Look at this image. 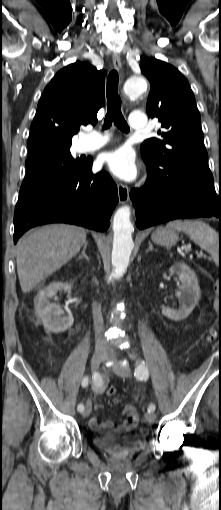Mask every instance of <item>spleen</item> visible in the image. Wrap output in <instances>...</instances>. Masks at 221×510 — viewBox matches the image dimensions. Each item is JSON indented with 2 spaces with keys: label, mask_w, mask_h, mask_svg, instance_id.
<instances>
[{
  "label": "spleen",
  "mask_w": 221,
  "mask_h": 510,
  "mask_svg": "<svg viewBox=\"0 0 221 510\" xmlns=\"http://www.w3.org/2000/svg\"><path fill=\"white\" fill-rule=\"evenodd\" d=\"M167 228L185 232L194 243L208 251L217 263L219 256L218 233L208 224L200 220H173Z\"/></svg>",
  "instance_id": "spleen-1"
}]
</instances>
